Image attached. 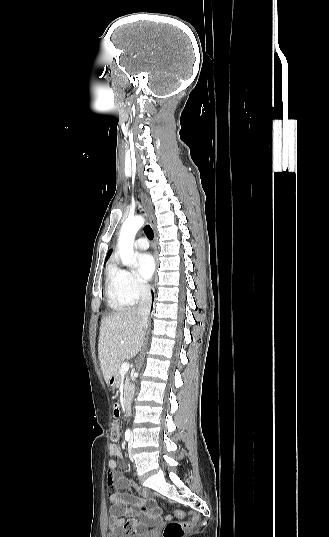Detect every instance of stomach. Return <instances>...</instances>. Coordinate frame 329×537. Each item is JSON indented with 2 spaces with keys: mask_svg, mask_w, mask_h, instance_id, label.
<instances>
[{
  "mask_svg": "<svg viewBox=\"0 0 329 537\" xmlns=\"http://www.w3.org/2000/svg\"><path fill=\"white\" fill-rule=\"evenodd\" d=\"M108 386L112 389H114L116 387V377L113 376L109 379L108 381Z\"/></svg>",
  "mask_w": 329,
  "mask_h": 537,
  "instance_id": "obj_1",
  "label": "stomach"
}]
</instances>
